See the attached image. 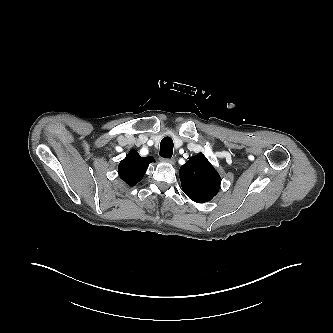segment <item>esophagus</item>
<instances>
[{
    "label": "esophagus",
    "instance_id": "34e87169",
    "mask_svg": "<svg viewBox=\"0 0 333 333\" xmlns=\"http://www.w3.org/2000/svg\"><path fill=\"white\" fill-rule=\"evenodd\" d=\"M165 161L171 163L172 165L175 164V159L174 158H163Z\"/></svg>",
    "mask_w": 333,
    "mask_h": 333
}]
</instances>
